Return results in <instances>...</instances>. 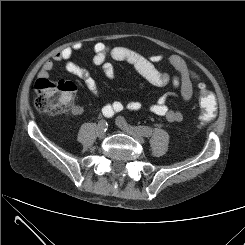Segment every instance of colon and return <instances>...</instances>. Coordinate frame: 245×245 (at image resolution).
<instances>
[{"label": "colon", "mask_w": 245, "mask_h": 245, "mask_svg": "<svg viewBox=\"0 0 245 245\" xmlns=\"http://www.w3.org/2000/svg\"><path fill=\"white\" fill-rule=\"evenodd\" d=\"M37 110L50 115H62L69 112L75 96L76 88L72 82L65 80L39 79L35 84ZM199 99L202 123L212 121L216 116V100L211 91L203 84L199 85Z\"/></svg>", "instance_id": "obj_1"}]
</instances>
